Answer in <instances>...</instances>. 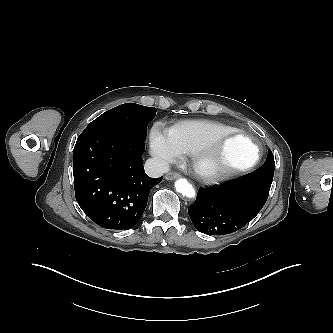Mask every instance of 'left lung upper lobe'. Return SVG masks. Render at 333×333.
Segmentation results:
<instances>
[{
  "label": "left lung upper lobe",
  "instance_id": "obj_1",
  "mask_svg": "<svg viewBox=\"0 0 333 333\" xmlns=\"http://www.w3.org/2000/svg\"><path fill=\"white\" fill-rule=\"evenodd\" d=\"M274 166H275L274 156L272 154V151L269 149L267 159H266L265 163L262 165V167L268 168V169H274Z\"/></svg>",
  "mask_w": 333,
  "mask_h": 333
}]
</instances>
